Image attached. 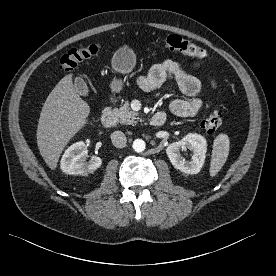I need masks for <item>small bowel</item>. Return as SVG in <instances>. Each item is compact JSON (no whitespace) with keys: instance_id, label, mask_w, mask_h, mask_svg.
Here are the masks:
<instances>
[{"instance_id":"obj_1","label":"small bowel","mask_w":276,"mask_h":276,"mask_svg":"<svg viewBox=\"0 0 276 276\" xmlns=\"http://www.w3.org/2000/svg\"><path fill=\"white\" fill-rule=\"evenodd\" d=\"M167 78H173L180 90L189 99H174L169 105L170 112L179 117L196 115L203 106L202 84L198 78L188 73L177 61L167 59L155 64L151 69L138 79L139 87L145 92H152L158 88ZM212 89L217 84L209 79Z\"/></svg>"}]
</instances>
